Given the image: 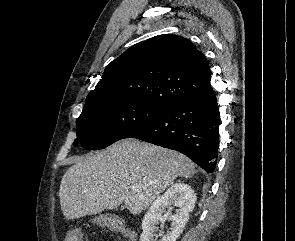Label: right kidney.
Returning <instances> with one entry per match:
<instances>
[{"instance_id": "ca27d5eb", "label": "right kidney", "mask_w": 295, "mask_h": 241, "mask_svg": "<svg viewBox=\"0 0 295 241\" xmlns=\"http://www.w3.org/2000/svg\"><path fill=\"white\" fill-rule=\"evenodd\" d=\"M195 202L196 194L191 186L183 182L173 184L153 202L145 214L140 241H156L158 237H162L160 241H176L189 219V213L192 212ZM172 206L179 208L175 214L170 213ZM166 208L169 210L166 211ZM166 220L172 222L167 233L154 234L158 221L164 223Z\"/></svg>"}]
</instances>
